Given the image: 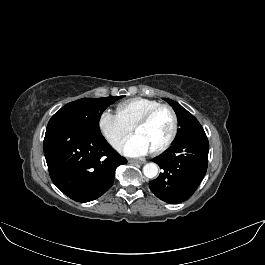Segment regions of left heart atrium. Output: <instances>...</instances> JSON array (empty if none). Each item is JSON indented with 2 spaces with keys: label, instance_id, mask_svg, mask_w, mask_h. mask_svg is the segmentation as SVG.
Segmentation results:
<instances>
[{
  "label": "left heart atrium",
  "instance_id": "left-heart-atrium-1",
  "mask_svg": "<svg viewBox=\"0 0 265 265\" xmlns=\"http://www.w3.org/2000/svg\"><path fill=\"white\" fill-rule=\"evenodd\" d=\"M151 151L149 145L138 134L130 137L123 145L122 152L127 156H143Z\"/></svg>",
  "mask_w": 265,
  "mask_h": 265
}]
</instances>
